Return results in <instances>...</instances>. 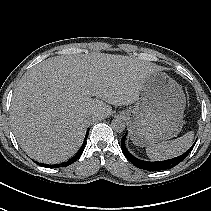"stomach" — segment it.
Wrapping results in <instances>:
<instances>
[{
	"mask_svg": "<svg viewBox=\"0 0 211 211\" xmlns=\"http://www.w3.org/2000/svg\"><path fill=\"white\" fill-rule=\"evenodd\" d=\"M185 105L182 87L166 73L152 72L142 86L136 106L122 112L133 143L150 146L176 137L183 126Z\"/></svg>",
	"mask_w": 211,
	"mask_h": 211,
	"instance_id": "0dacf381",
	"label": "stomach"
}]
</instances>
